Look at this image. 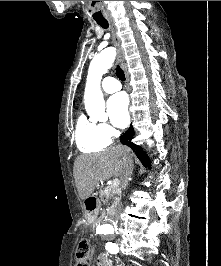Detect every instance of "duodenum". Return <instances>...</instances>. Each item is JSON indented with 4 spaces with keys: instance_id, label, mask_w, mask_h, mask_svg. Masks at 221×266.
Returning a JSON list of instances; mask_svg holds the SVG:
<instances>
[{
    "instance_id": "obj_1",
    "label": "duodenum",
    "mask_w": 221,
    "mask_h": 266,
    "mask_svg": "<svg viewBox=\"0 0 221 266\" xmlns=\"http://www.w3.org/2000/svg\"><path fill=\"white\" fill-rule=\"evenodd\" d=\"M96 199H98V194H89V196L85 200L88 219L90 222L95 220V210H97V206L99 205V202ZM114 214H116L115 208L109 207L107 211V216H114Z\"/></svg>"
}]
</instances>
